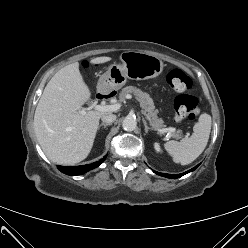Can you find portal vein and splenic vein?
I'll return each mask as SVG.
<instances>
[{
	"mask_svg": "<svg viewBox=\"0 0 248 248\" xmlns=\"http://www.w3.org/2000/svg\"><path fill=\"white\" fill-rule=\"evenodd\" d=\"M131 98H132V95H130V94H128L126 96V99H131ZM120 108H121L120 103H116V104H113V105H96L95 106V110L101 111V112H114V111H118ZM80 113L82 115H84L86 112H85V110H81ZM142 113L145 116V118L147 119V113L144 110H142ZM158 131L160 133L168 132V134H170L171 132H174L175 129L174 128H167V129H160Z\"/></svg>",
	"mask_w": 248,
	"mask_h": 248,
	"instance_id": "portal-vein-and-splenic-vein-1",
	"label": "portal vein and splenic vein"
}]
</instances>
